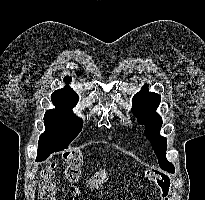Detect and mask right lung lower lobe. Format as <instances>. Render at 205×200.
<instances>
[{
  "label": "right lung lower lobe",
  "mask_w": 205,
  "mask_h": 200,
  "mask_svg": "<svg viewBox=\"0 0 205 200\" xmlns=\"http://www.w3.org/2000/svg\"><path fill=\"white\" fill-rule=\"evenodd\" d=\"M58 148L53 143H40L38 142V155L36 161L46 159L51 153L57 152Z\"/></svg>",
  "instance_id": "obj_1"
}]
</instances>
